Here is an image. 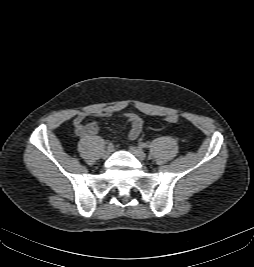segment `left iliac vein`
Listing matches in <instances>:
<instances>
[{"mask_svg":"<svg viewBox=\"0 0 254 267\" xmlns=\"http://www.w3.org/2000/svg\"><path fill=\"white\" fill-rule=\"evenodd\" d=\"M130 152L138 159L140 160H145L146 158V154L144 153V151H142L141 149L131 146L130 148Z\"/></svg>","mask_w":254,"mask_h":267,"instance_id":"left-iliac-vein-1","label":"left iliac vein"}]
</instances>
